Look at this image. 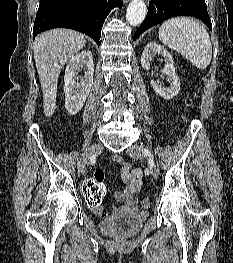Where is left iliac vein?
I'll list each match as a JSON object with an SVG mask.
<instances>
[{
    "instance_id": "4c4485c4",
    "label": "left iliac vein",
    "mask_w": 233,
    "mask_h": 263,
    "mask_svg": "<svg viewBox=\"0 0 233 263\" xmlns=\"http://www.w3.org/2000/svg\"><path fill=\"white\" fill-rule=\"evenodd\" d=\"M144 147L138 144H133L131 145L128 149H127V154L131 157L134 158H142L144 156L143 152H144ZM149 164H150V170H151V174L153 176L154 179H157L159 177L160 174V169L158 164L155 162L154 158L149 155Z\"/></svg>"
}]
</instances>
